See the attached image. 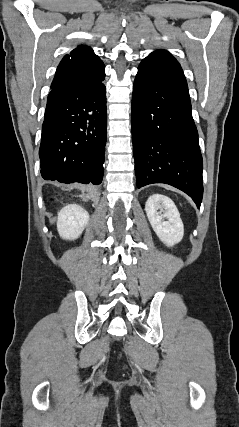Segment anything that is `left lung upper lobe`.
<instances>
[{
  "label": "left lung upper lobe",
  "instance_id": "1",
  "mask_svg": "<svg viewBox=\"0 0 239 427\" xmlns=\"http://www.w3.org/2000/svg\"><path fill=\"white\" fill-rule=\"evenodd\" d=\"M143 61L184 76L178 61L166 50L155 51L148 55Z\"/></svg>",
  "mask_w": 239,
  "mask_h": 427
}]
</instances>
